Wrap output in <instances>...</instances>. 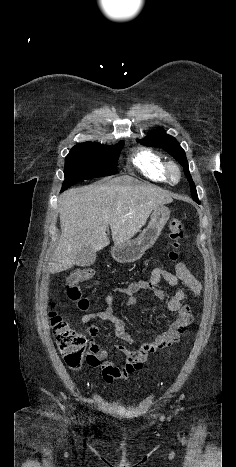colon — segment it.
Returning <instances> with one entry per match:
<instances>
[{
	"label": "colon",
	"instance_id": "5ec220e1",
	"mask_svg": "<svg viewBox=\"0 0 236 467\" xmlns=\"http://www.w3.org/2000/svg\"><path fill=\"white\" fill-rule=\"evenodd\" d=\"M170 238L172 239V249L168 253V258L176 262L180 257V245L184 239L185 230L179 219H172L169 222ZM94 276V269L90 267H81L76 269L64 282V292L66 297L77 304L78 308L86 311L89 308V301L81 295L78 283L82 280L91 279ZM50 321L54 331L55 342L58 346L65 364L73 370L81 368L83 362L87 360L85 354L86 339L75 331L63 316L52 311Z\"/></svg>",
	"mask_w": 236,
	"mask_h": 467
}]
</instances>
